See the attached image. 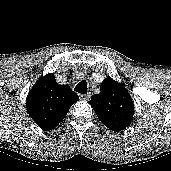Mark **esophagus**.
<instances>
[{
    "instance_id": "obj_1",
    "label": "esophagus",
    "mask_w": 171,
    "mask_h": 171,
    "mask_svg": "<svg viewBox=\"0 0 171 171\" xmlns=\"http://www.w3.org/2000/svg\"><path fill=\"white\" fill-rule=\"evenodd\" d=\"M90 94H79V98L84 101H88L90 99Z\"/></svg>"
}]
</instances>
